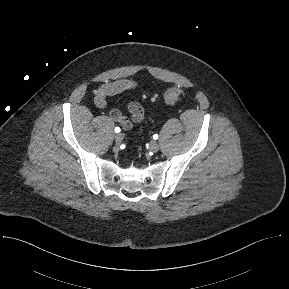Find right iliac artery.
I'll use <instances>...</instances> for the list:
<instances>
[{
    "label": "right iliac artery",
    "mask_w": 289,
    "mask_h": 289,
    "mask_svg": "<svg viewBox=\"0 0 289 289\" xmlns=\"http://www.w3.org/2000/svg\"><path fill=\"white\" fill-rule=\"evenodd\" d=\"M121 131V129L119 127H115V132L119 133Z\"/></svg>",
    "instance_id": "82829eb1"
}]
</instances>
